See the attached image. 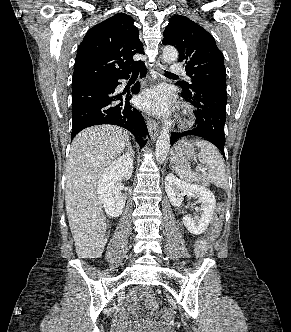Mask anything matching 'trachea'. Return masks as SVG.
Listing matches in <instances>:
<instances>
[{"mask_svg":"<svg viewBox=\"0 0 291 332\" xmlns=\"http://www.w3.org/2000/svg\"><path fill=\"white\" fill-rule=\"evenodd\" d=\"M138 73H139V72H135L134 75H137ZM165 73H166L167 75H174V74H172V73H170V72H167V71H166Z\"/></svg>","mask_w":291,"mask_h":332,"instance_id":"trachea-1","label":"trachea"}]
</instances>
